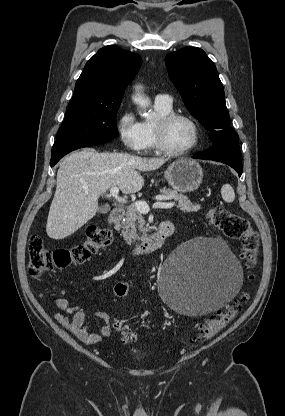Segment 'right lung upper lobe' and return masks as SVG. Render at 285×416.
<instances>
[{
	"label": "right lung upper lobe",
	"instance_id": "obj_1",
	"mask_svg": "<svg viewBox=\"0 0 285 416\" xmlns=\"http://www.w3.org/2000/svg\"><path fill=\"white\" fill-rule=\"evenodd\" d=\"M141 57L116 45L101 48L86 63L75 84L73 100L103 102L121 100L127 84L141 66Z\"/></svg>",
	"mask_w": 285,
	"mask_h": 416
}]
</instances>
